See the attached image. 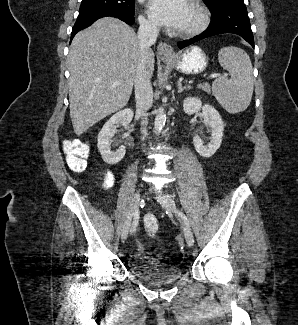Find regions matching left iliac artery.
<instances>
[{"label":"left iliac artery","instance_id":"obj_1","mask_svg":"<svg viewBox=\"0 0 298 325\" xmlns=\"http://www.w3.org/2000/svg\"><path fill=\"white\" fill-rule=\"evenodd\" d=\"M178 215L184 220V222L189 226V221L186 215L180 211H178Z\"/></svg>","mask_w":298,"mask_h":325}]
</instances>
